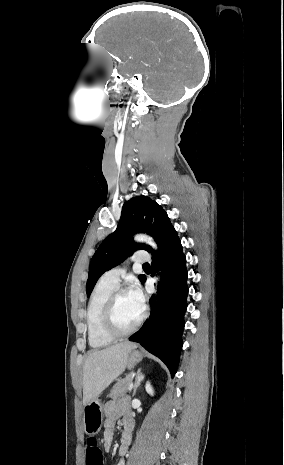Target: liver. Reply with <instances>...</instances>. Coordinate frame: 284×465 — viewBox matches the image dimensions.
I'll return each mask as SVG.
<instances>
[{"mask_svg": "<svg viewBox=\"0 0 284 465\" xmlns=\"http://www.w3.org/2000/svg\"><path fill=\"white\" fill-rule=\"evenodd\" d=\"M135 343H118L89 353L83 365V405L91 403L126 369L127 357Z\"/></svg>", "mask_w": 284, "mask_h": 465, "instance_id": "6515ba94", "label": "liver"}]
</instances>
